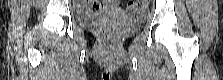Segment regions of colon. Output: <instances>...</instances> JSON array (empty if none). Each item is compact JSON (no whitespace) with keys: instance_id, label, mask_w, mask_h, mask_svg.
Listing matches in <instances>:
<instances>
[{"instance_id":"5ec220e1","label":"colon","mask_w":223,"mask_h":80,"mask_svg":"<svg viewBox=\"0 0 223 80\" xmlns=\"http://www.w3.org/2000/svg\"><path fill=\"white\" fill-rule=\"evenodd\" d=\"M141 3H144L143 1ZM127 12L130 16L137 18L140 14V5L138 2H130L127 7Z\"/></svg>"}]
</instances>
